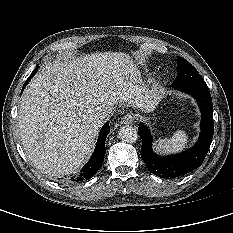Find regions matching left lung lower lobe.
I'll list each match as a JSON object with an SVG mask.
<instances>
[{
    "label": "left lung lower lobe",
    "instance_id": "obj_1",
    "mask_svg": "<svg viewBox=\"0 0 233 233\" xmlns=\"http://www.w3.org/2000/svg\"><path fill=\"white\" fill-rule=\"evenodd\" d=\"M172 88L188 93L196 99L202 113L201 133L191 149L161 157L152 151V136L149 129L143 123L139 124L138 131L142 138L141 157L148 169L162 178L179 177L198 168L207 155L214 133L213 104L207 85L188 84Z\"/></svg>",
    "mask_w": 233,
    "mask_h": 233
}]
</instances>
